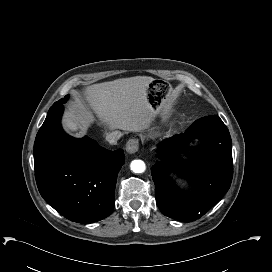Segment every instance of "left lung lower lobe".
<instances>
[{
	"mask_svg": "<svg viewBox=\"0 0 272 272\" xmlns=\"http://www.w3.org/2000/svg\"><path fill=\"white\" fill-rule=\"evenodd\" d=\"M195 137L202 141L194 150L189 164L180 161L178 153ZM158 157L152 167L156 203L160 211L179 221H194L204 215L228 191L233 176L232 144L229 131L216 116L196 120L184 133L160 143ZM186 178L194 193L176 187L165 175L168 169Z\"/></svg>",
	"mask_w": 272,
	"mask_h": 272,
	"instance_id": "0a47b994",
	"label": "left lung lower lobe"
}]
</instances>
